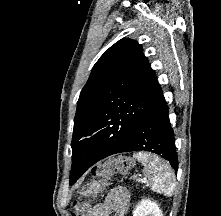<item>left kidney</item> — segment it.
<instances>
[{
    "instance_id": "left-kidney-1",
    "label": "left kidney",
    "mask_w": 221,
    "mask_h": 216,
    "mask_svg": "<svg viewBox=\"0 0 221 216\" xmlns=\"http://www.w3.org/2000/svg\"><path fill=\"white\" fill-rule=\"evenodd\" d=\"M133 216H163V214L155 202L143 199L134 209Z\"/></svg>"
}]
</instances>
